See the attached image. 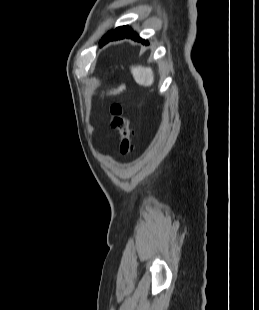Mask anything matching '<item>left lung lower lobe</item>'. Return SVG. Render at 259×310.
Masks as SVG:
<instances>
[{
    "label": "left lung lower lobe",
    "mask_w": 259,
    "mask_h": 310,
    "mask_svg": "<svg viewBox=\"0 0 259 310\" xmlns=\"http://www.w3.org/2000/svg\"><path fill=\"white\" fill-rule=\"evenodd\" d=\"M131 38L133 40L141 41L143 44H148L147 41L141 39L136 32H134L129 26L117 27L109 35L104 37L100 42V45H104L109 41H114L117 39Z\"/></svg>",
    "instance_id": "obj_1"
}]
</instances>
